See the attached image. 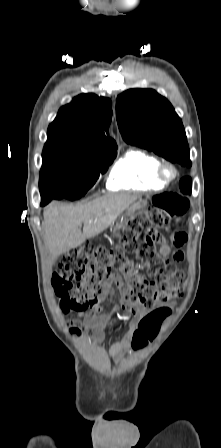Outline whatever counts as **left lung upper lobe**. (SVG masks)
I'll use <instances>...</instances> for the list:
<instances>
[{
  "instance_id": "left-lung-upper-lobe-1",
  "label": "left lung upper lobe",
  "mask_w": 221,
  "mask_h": 448,
  "mask_svg": "<svg viewBox=\"0 0 221 448\" xmlns=\"http://www.w3.org/2000/svg\"><path fill=\"white\" fill-rule=\"evenodd\" d=\"M116 117L123 139L171 162L191 166L181 119L169 101L152 89H130L117 97Z\"/></svg>"
}]
</instances>
